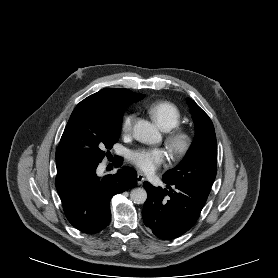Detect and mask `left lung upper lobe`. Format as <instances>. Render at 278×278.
<instances>
[{
	"label": "left lung upper lobe",
	"mask_w": 278,
	"mask_h": 278,
	"mask_svg": "<svg viewBox=\"0 0 278 278\" xmlns=\"http://www.w3.org/2000/svg\"><path fill=\"white\" fill-rule=\"evenodd\" d=\"M195 124V139L176 167L163 175L172 183L191 185L210 191L216 177L217 142L209 116L190 98L187 99Z\"/></svg>",
	"instance_id": "obj_1"
}]
</instances>
